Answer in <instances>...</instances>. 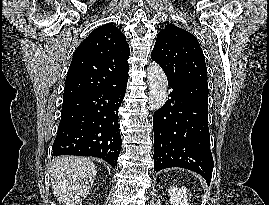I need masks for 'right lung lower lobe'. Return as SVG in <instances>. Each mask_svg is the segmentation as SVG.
Returning a JSON list of instances; mask_svg holds the SVG:
<instances>
[{"instance_id":"right-lung-lower-lobe-1","label":"right lung lower lobe","mask_w":269,"mask_h":205,"mask_svg":"<svg viewBox=\"0 0 269 205\" xmlns=\"http://www.w3.org/2000/svg\"><path fill=\"white\" fill-rule=\"evenodd\" d=\"M127 81L128 72L118 86L63 99L61 120L52 146L54 156L99 157L117 167L121 150L118 109Z\"/></svg>"}]
</instances>
